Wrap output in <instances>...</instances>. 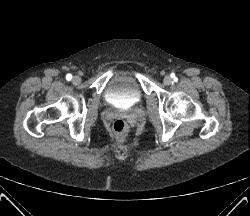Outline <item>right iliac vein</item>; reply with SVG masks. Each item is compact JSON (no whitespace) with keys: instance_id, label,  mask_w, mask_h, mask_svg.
I'll list each match as a JSON object with an SVG mask.
<instances>
[{"instance_id":"1","label":"right iliac vein","mask_w":250,"mask_h":216,"mask_svg":"<svg viewBox=\"0 0 250 216\" xmlns=\"http://www.w3.org/2000/svg\"><path fill=\"white\" fill-rule=\"evenodd\" d=\"M74 84H79L81 82V78L79 76H74L72 79Z\"/></svg>"}]
</instances>
